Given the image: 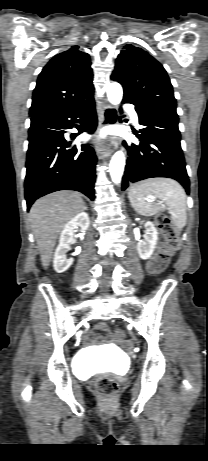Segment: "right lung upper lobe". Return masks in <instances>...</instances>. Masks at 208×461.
Listing matches in <instances>:
<instances>
[{
  "label": "right lung upper lobe",
  "instance_id": "cb5924a9",
  "mask_svg": "<svg viewBox=\"0 0 208 461\" xmlns=\"http://www.w3.org/2000/svg\"><path fill=\"white\" fill-rule=\"evenodd\" d=\"M89 55L72 46L55 55L39 74L29 115L31 121L75 110L93 99Z\"/></svg>",
  "mask_w": 208,
  "mask_h": 461
}]
</instances>
